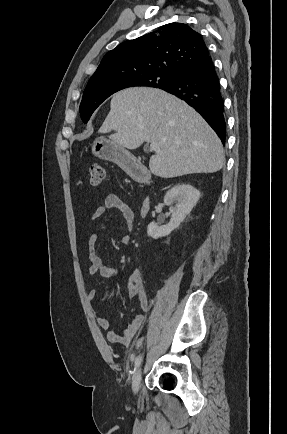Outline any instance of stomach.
I'll use <instances>...</instances> for the list:
<instances>
[{
    "label": "stomach",
    "instance_id": "0dacf381",
    "mask_svg": "<svg viewBox=\"0 0 287 434\" xmlns=\"http://www.w3.org/2000/svg\"><path fill=\"white\" fill-rule=\"evenodd\" d=\"M92 153L100 159L111 161L123 168H127L133 159L126 149L104 138H98L93 142Z\"/></svg>",
    "mask_w": 287,
    "mask_h": 434
}]
</instances>
